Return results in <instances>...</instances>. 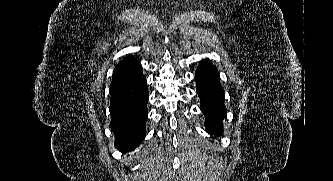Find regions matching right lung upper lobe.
I'll return each mask as SVG.
<instances>
[{"label":"right lung upper lobe","instance_id":"obj_1","mask_svg":"<svg viewBox=\"0 0 333 181\" xmlns=\"http://www.w3.org/2000/svg\"><path fill=\"white\" fill-rule=\"evenodd\" d=\"M142 74V67L138 60L127 57L114 69L110 89L127 83Z\"/></svg>","mask_w":333,"mask_h":181}]
</instances>
